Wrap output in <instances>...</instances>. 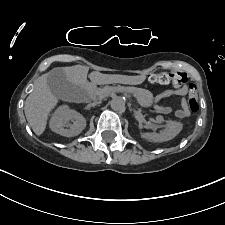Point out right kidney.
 <instances>
[{
  "label": "right kidney",
  "mask_w": 225,
  "mask_h": 225,
  "mask_svg": "<svg viewBox=\"0 0 225 225\" xmlns=\"http://www.w3.org/2000/svg\"><path fill=\"white\" fill-rule=\"evenodd\" d=\"M73 122V124L70 123ZM86 127L85 118L67 106H60L52 115L50 128L53 132L65 137L79 135Z\"/></svg>",
  "instance_id": "1"
}]
</instances>
